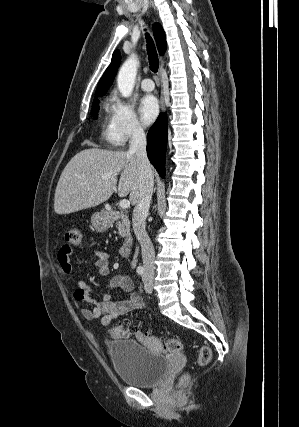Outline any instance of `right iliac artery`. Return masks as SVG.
<instances>
[{
    "mask_svg": "<svg viewBox=\"0 0 299 427\" xmlns=\"http://www.w3.org/2000/svg\"><path fill=\"white\" fill-rule=\"evenodd\" d=\"M136 271H137V273H138L139 275H142V274H143V272H144V268H143V267H141V266H139V267H137Z\"/></svg>",
    "mask_w": 299,
    "mask_h": 427,
    "instance_id": "right-iliac-artery-1",
    "label": "right iliac artery"
}]
</instances>
